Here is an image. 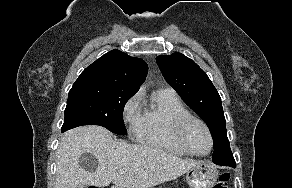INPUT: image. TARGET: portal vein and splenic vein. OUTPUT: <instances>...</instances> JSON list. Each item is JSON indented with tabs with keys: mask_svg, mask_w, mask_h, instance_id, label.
<instances>
[{
	"mask_svg": "<svg viewBox=\"0 0 292 188\" xmlns=\"http://www.w3.org/2000/svg\"><path fill=\"white\" fill-rule=\"evenodd\" d=\"M119 172H120V173H125L126 170H125V169H121Z\"/></svg>",
	"mask_w": 292,
	"mask_h": 188,
	"instance_id": "portal-vein-and-splenic-vein-1",
	"label": "portal vein and splenic vein"
}]
</instances>
